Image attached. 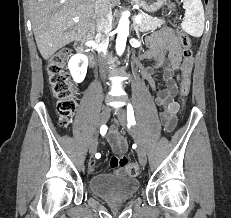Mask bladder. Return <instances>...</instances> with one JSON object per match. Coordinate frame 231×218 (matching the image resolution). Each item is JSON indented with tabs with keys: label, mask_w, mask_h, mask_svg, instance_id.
Segmentation results:
<instances>
[{
	"label": "bladder",
	"mask_w": 231,
	"mask_h": 218,
	"mask_svg": "<svg viewBox=\"0 0 231 218\" xmlns=\"http://www.w3.org/2000/svg\"><path fill=\"white\" fill-rule=\"evenodd\" d=\"M138 179L129 176H94L89 180L90 190L105 199H128L139 190Z\"/></svg>",
	"instance_id": "obj_1"
}]
</instances>
